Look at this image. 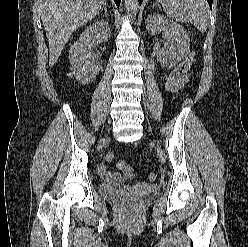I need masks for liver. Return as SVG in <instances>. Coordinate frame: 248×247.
<instances>
[{
	"instance_id": "6515ba94",
	"label": "liver",
	"mask_w": 248,
	"mask_h": 247,
	"mask_svg": "<svg viewBox=\"0 0 248 247\" xmlns=\"http://www.w3.org/2000/svg\"><path fill=\"white\" fill-rule=\"evenodd\" d=\"M106 0H39L49 43V66L57 62L72 33L93 19Z\"/></svg>"
}]
</instances>
